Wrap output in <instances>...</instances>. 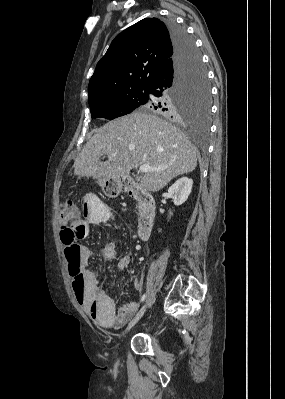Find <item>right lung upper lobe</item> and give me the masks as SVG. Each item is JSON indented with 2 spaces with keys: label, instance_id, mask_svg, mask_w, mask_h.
I'll list each match as a JSON object with an SVG mask.
<instances>
[{
  "label": "right lung upper lobe",
  "instance_id": "right-lung-upper-lobe-1",
  "mask_svg": "<svg viewBox=\"0 0 285 399\" xmlns=\"http://www.w3.org/2000/svg\"><path fill=\"white\" fill-rule=\"evenodd\" d=\"M174 55L167 25L145 18L121 32L98 62L89 82V100L150 87Z\"/></svg>",
  "mask_w": 285,
  "mask_h": 399
}]
</instances>
